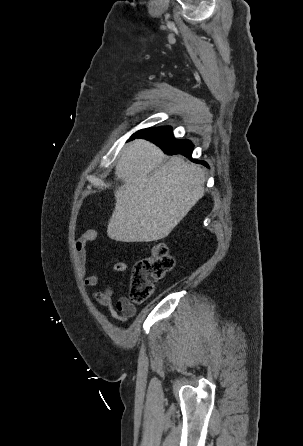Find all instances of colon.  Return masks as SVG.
Listing matches in <instances>:
<instances>
[{
  "mask_svg": "<svg viewBox=\"0 0 303 446\" xmlns=\"http://www.w3.org/2000/svg\"><path fill=\"white\" fill-rule=\"evenodd\" d=\"M175 261L163 243H155L150 255L135 262L129 275V299L131 304H141L155 291V283L174 267Z\"/></svg>",
  "mask_w": 303,
  "mask_h": 446,
  "instance_id": "5ec220e1",
  "label": "colon"
}]
</instances>
